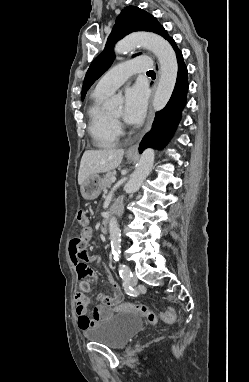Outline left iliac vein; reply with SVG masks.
I'll use <instances>...</instances> for the list:
<instances>
[{"label": "left iliac vein", "instance_id": "obj_1", "mask_svg": "<svg viewBox=\"0 0 249 382\" xmlns=\"http://www.w3.org/2000/svg\"><path fill=\"white\" fill-rule=\"evenodd\" d=\"M137 282H138L137 277L135 276V274H133L132 277L130 278V285L135 286Z\"/></svg>", "mask_w": 249, "mask_h": 382}]
</instances>
